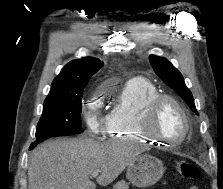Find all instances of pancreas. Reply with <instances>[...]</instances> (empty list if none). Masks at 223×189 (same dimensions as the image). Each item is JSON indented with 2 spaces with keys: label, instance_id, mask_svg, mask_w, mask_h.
<instances>
[{
  "label": "pancreas",
  "instance_id": "pancreas-1",
  "mask_svg": "<svg viewBox=\"0 0 223 189\" xmlns=\"http://www.w3.org/2000/svg\"><path fill=\"white\" fill-rule=\"evenodd\" d=\"M115 189H128V184L125 182H119L116 184Z\"/></svg>",
  "mask_w": 223,
  "mask_h": 189
}]
</instances>
